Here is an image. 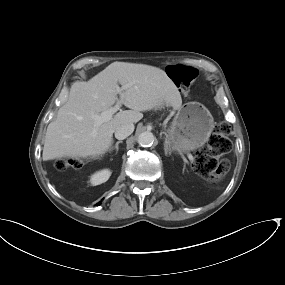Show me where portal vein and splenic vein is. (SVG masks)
Returning a JSON list of instances; mask_svg holds the SVG:
<instances>
[{
    "label": "portal vein and splenic vein",
    "instance_id": "1",
    "mask_svg": "<svg viewBox=\"0 0 285 285\" xmlns=\"http://www.w3.org/2000/svg\"><path fill=\"white\" fill-rule=\"evenodd\" d=\"M117 92H118L119 95H120V100H119V101L116 103V105H115L114 107H112L110 110L105 111V112H102L100 115H95V116H94L95 121L100 122V123L105 122V121H108V120H110V118L112 117V115H113L114 113H116V112L120 109V107L122 106L123 87H119V86H118V87H117ZM187 156H188V158H189L190 161H193V160H194V157L192 156V154L189 153Z\"/></svg>",
    "mask_w": 285,
    "mask_h": 285
}]
</instances>
